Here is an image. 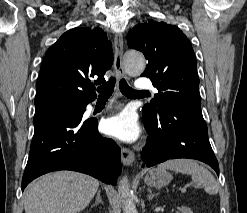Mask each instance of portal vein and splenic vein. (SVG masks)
Listing matches in <instances>:
<instances>
[{
    "mask_svg": "<svg viewBox=\"0 0 247 213\" xmlns=\"http://www.w3.org/2000/svg\"><path fill=\"white\" fill-rule=\"evenodd\" d=\"M181 192H182V193H185V192H186V188H182V189H181Z\"/></svg>",
    "mask_w": 247,
    "mask_h": 213,
    "instance_id": "portal-vein-and-splenic-vein-1",
    "label": "portal vein and splenic vein"
}]
</instances>
